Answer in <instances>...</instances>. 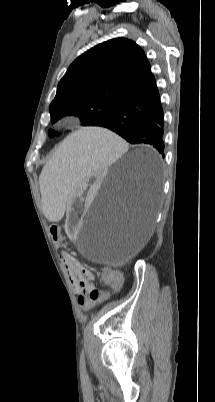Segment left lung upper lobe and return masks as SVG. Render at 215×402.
Returning <instances> with one entry per match:
<instances>
[{
  "label": "left lung upper lobe",
  "mask_w": 215,
  "mask_h": 402,
  "mask_svg": "<svg viewBox=\"0 0 215 402\" xmlns=\"http://www.w3.org/2000/svg\"><path fill=\"white\" fill-rule=\"evenodd\" d=\"M151 74L144 51L133 41L116 38L79 56L60 80L50 104L51 122L74 112L83 126H96ZM50 137L56 135L53 130Z\"/></svg>",
  "instance_id": "obj_1"
}]
</instances>
